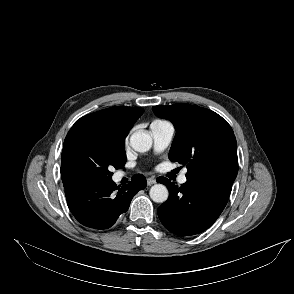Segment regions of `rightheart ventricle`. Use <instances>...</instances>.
Listing matches in <instances>:
<instances>
[{
  "label": "right heart ventricle",
  "instance_id": "right-heart-ventricle-1",
  "mask_svg": "<svg viewBox=\"0 0 294 294\" xmlns=\"http://www.w3.org/2000/svg\"><path fill=\"white\" fill-rule=\"evenodd\" d=\"M154 122H163V121L158 120V121H154Z\"/></svg>",
  "mask_w": 294,
  "mask_h": 294
}]
</instances>
